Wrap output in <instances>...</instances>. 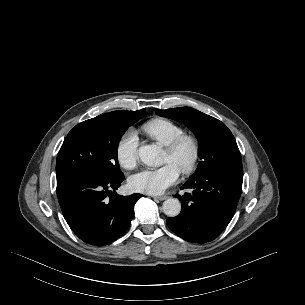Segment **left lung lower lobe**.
I'll list each match as a JSON object with an SVG mask.
<instances>
[{
	"label": "left lung lower lobe",
	"mask_w": 305,
	"mask_h": 305,
	"mask_svg": "<svg viewBox=\"0 0 305 305\" xmlns=\"http://www.w3.org/2000/svg\"><path fill=\"white\" fill-rule=\"evenodd\" d=\"M242 181L241 161L222 164L189 179L181 189H192L193 193L175 195L182 210L178 216L166 220L168 227L189 242L214 240L234 216Z\"/></svg>",
	"instance_id": "left-lung-lower-lobe-1"
}]
</instances>
